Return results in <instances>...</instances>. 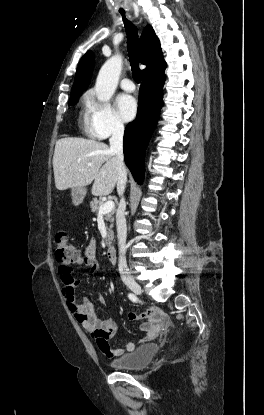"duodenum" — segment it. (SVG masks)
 I'll list each match as a JSON object with an SVG mask.
<instances>
[{
  "instance_id": "1",
  "label": "duodenum",
  "mask_w": 264,
  "mask_h": 415,
  "mask_svg": "<svg viewBox=\"0 0 264 415\" xmlns=\"http://www.w3.org/2000/svg\"><path fill=\"white\" fill-rule=\"evenodd\" d=\"M107 261L110 265H114L116 261V248L113 243H110L107 247Z\"/></svg>"
}]
</instances>
